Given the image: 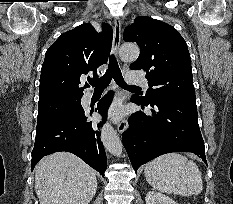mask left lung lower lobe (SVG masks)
<instances>
[{
    "mask_svg": "<svg viewBox=\"0 0 233 204\" xmlns=\"http://www.w3.org/2000/svg\"><path fill=\"white\" fill-rule=\"evenodd\" d=\"M131 101L151 111V114L142 111L132 114L128 119L129 128L122 135L135 171L170 152H192L207 164L196 100L159 97L145 103L132 97Z\"/></svg>",
    "mask_w": 233,
    "mask_h": 204,
    "instance_id": "obj_1",
    "label": "left lung lower lobe"
}]
</instances>
